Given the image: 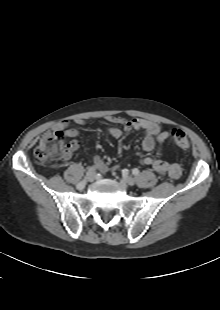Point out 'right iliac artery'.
Masks as SVG:
<instances>
[{
	"mask_svg": "<svg viewBox=\"0 0 220 310\" xmlns=\"http://www.w3.org/2000/svg\"><path fill=\"white\" fill-rule=\"evenodd\" d=\"M95 169H96L95 167H90L89 170H88V172L86 173V176L88 177L90 174H92V173L95 171ZM87 177H85L84 180H82L81 182H79V183L77 184L76 188H77L78 190H81V189H83V188L85 187Z\"/></svg>",
	"mask_w": 220,
	"mask_h": 310,
	"instance_id": "right-iliac-artery-1",
	"label": "right iliac artery"
}]
</instances>
